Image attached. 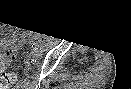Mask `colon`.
I'll return each instance as SVG.
<instances>
[{
	"label": "colon",
	"mask_w": 131,
	"mask_h": 89,
	"mask_svg": "<svg viewBox=\"0 0 131 89\" xmlns=\"http://www.w3.org/2000/svg\"><path fill=\"white\" fill-rule=\"evenodd\" d=\"M18 49V47L13 46L0 53V89L10 88L17 81L16 75L12 72H7L5 69L15 60Z\"/></svg>",
	"instance_id": "5ec220e1"
}]
</instances>
